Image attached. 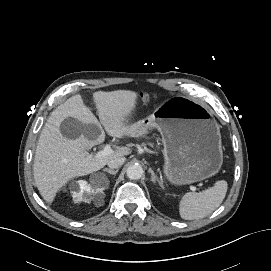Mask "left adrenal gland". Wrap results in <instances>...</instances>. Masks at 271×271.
<instances>
[{
  "mask_svg": "<svg viewBox=\"0 0 271 271\" xmlns=\"http://www.w3.org/2000/svg\"><path fill=\"white\" fill-rule=\"evenodd\" d=\"M149 173H151V180L152 182L158 183L160 187H162V182L158 179V177L156 176V174L154 173V171L150 168L149 169Z\"/></svg>",
  "mask_w": 271,
  "mask_h": 271,
  "instance_id": "1",
  "label": "left adrenal gland"
}]
</instances>
